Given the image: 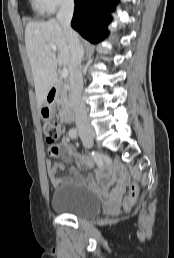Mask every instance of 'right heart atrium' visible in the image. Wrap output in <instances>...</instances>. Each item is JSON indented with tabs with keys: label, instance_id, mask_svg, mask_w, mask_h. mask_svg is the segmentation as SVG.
<instances>
[{
	"label": "right heart atrium",
	"instance_id": "obj_1",
	"mask_svg": "<svg viewBox=\"0 0 174 258\" xmlns=\"http://www.w3.org/2000/svg\"><path fill=\"white\" fill-rule=\"evenodd\" d=\"M73 0H40L42 8L47 13H54L58 8L70 4Z\"/></svg>",
	"mask_w": 174,
	"mask_h": 258
}]
</instances>
